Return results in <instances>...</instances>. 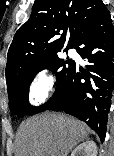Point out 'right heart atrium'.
Returning a JSON list of instances; mask_svg holds the SVG:
<instances>
[{"instance_id": "right-heart-atrium-1", "label": "right heart atrium", "mask_w": 114, "mask_h": 156, "mask_svg": "<svg viewBox=\"0 0 114 156\" xmlns=\"http://www.w3.org/2000/svg\"><path fill=\"white\" fill-rule=\"evenodd\" d=\"M56 87V77L51 70L42 69L34 74L29 87L28 96L32 105L43 104L52 95Z\"/></svg>"}]
</instances>
